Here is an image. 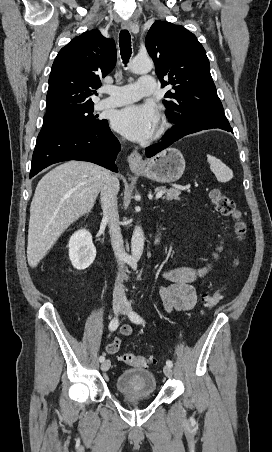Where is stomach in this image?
Segmentation results:
<instances>
[{
    "label": "stomach",
    "mask_w": 272,
    "mask_h": 452,
    "mask_svg": "<svg viewBox=\"0 0 272 452\" xmlns=\"http://www.w3.org/2000/svg\"><path fill=\"white\" fill-rule=\"evenodd\" d=\"M136 170L156 182H175L185 170V159L179 150L167 148Z\"/></svg>",
    "instance_id": "stomach-1"
}]
</instances>
